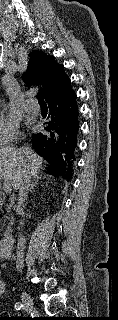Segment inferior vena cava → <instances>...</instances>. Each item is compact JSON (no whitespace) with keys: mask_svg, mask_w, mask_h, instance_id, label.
Returning a JSON list of instances; mask_svg holds the SVG:
<instances>
[{"mask_svg":"<svg viewBox=\"0 0 118 320\" xmlns=\"http://www.w3.org/2000/svg\"><path fill=\"white\" fill-rule=\"evenodd\" d=\"M21 154L26 157L30 158V155L32 154V150L28 147H22L20 148ZM31 182V175L30 173H25V175L22 178V181L19 185V196H18V204L16 206V212L20 215L23 212V205L25 201L27 200V194L29 191ZM24 223L21 221L20 225H23ZM20 229V228H19ZM24 250H25V238L22 237V235L19 234L18 242H17V260H16V268L17 271H22V268L24 266Z\"/></svg>","mask_w":118,"mask_h":320,"instance_id":"obj_1","label":"inferior vena cava"}]
</instances>
